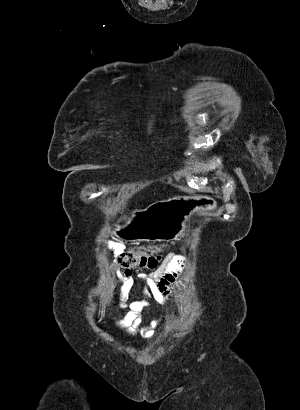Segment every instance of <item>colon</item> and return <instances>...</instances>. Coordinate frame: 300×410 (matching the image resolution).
<instances>
[{"label": "colon", "instance_id": "colon-1", "mask_svg": "<svg viewBox=\"0 0 300 410\" xmlns=\"http://www.w3.org/2000/svg\"><path fill=\"white\" fill-rule=\"evenodd\" d=\"M160 262L159 254L147 250L127 249L117 257V263L126 276L133 271L154 269Z\"/></svg>", "mask_w": 300, "mask_h": 410}]
</instances>
